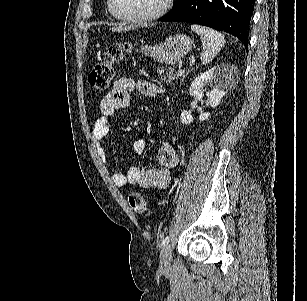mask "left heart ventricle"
Instances as JSON below:
<instances>
[{
	"instance_id": "b2bd125f",
	"label": "left heart ventricle",
	"mask_w": 307,
	"mask_h": 301,
	"mask_svg": "<svg viewBox=\"0 0 307 301\" xmlns=\"http://www.w3.org/2000/svg\"><path fill=\"white\" fill-rule=\"evenodd\" d=\"M164 0H117L120 7L116 13H143L144 11H158ZM136 5V6H135Z\"/></svg>"
}]
</instances>
